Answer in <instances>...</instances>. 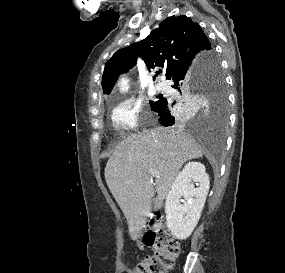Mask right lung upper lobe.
Listing matches in <instances>:
<instances>
[{"mask_svg": "<svg viewBox=\"0 0 285 273\" xmlns=\"http://www.w3.org/2000/svg\"><path fill=\"white\" fill-rule=\"evenodd\" d=\"M213 53L199 24L185 15L168 17L147 38L117 51L106 63L102 77L103 93L110 94L119 74L132 68L137 56L145 61L148 69L164 67L166 79L171 80L181 71L193 67L202 57Z\"/></svg>", "mask_w": 285, "mask_h": 273, "instance_id": "cb5924a9", "label": "right lung upper lobe"}]
</instances>
